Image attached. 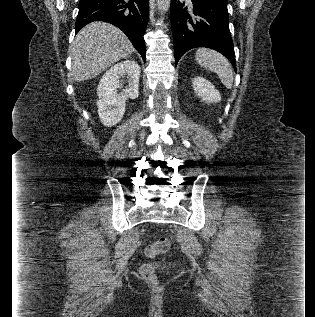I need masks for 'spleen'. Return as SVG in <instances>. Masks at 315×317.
Listing matches in <instances>:
<instances>
[{
    "label": "spleen",
    "mask_w": 315,
    "mask_h": 317,
    "mask_svg": "<svg viewBox=\"0 0 315 317\" xmlns=\"http://www.w3.org/2000/svg\"><path fill=\"white\" fill-rule=\"evenodd\" d=\"M195 59L201 67L217 73L226 88H232L233 70L223 55L211 49L200 48L196 51Z\"/></svg>",
    "instance_id": "3e777b00"
}]
</instances>
